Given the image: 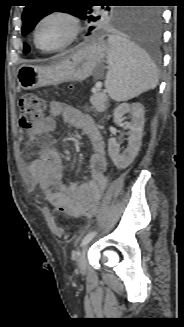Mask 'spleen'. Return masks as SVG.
<instances>
[{"instance_id":"spleen-1","label":"spleen","mask_w":184,"mask_h":327,"mask_svg":"<svg viewBox=\"0 0 184 327\" xmlns=\"http://www.w3.org/2000/svg\"><path fill=\"white\" fill-rule=\"evenodd\" d=\"M107 63L105 87L115 101L132 99L158 84V73L150 57L124 37H108Z\"/></svg>"}]
</instances>
